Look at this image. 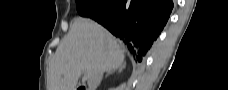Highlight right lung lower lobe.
<instances>
[{"instance_id":"obj_1","label":"right lung lower lobe","mask_w":228,"mask_h":90,"mask_svg":"<svg viewBox=\"0 0 228 90\" xmlns=\"http://www.w3.org/2000/svg\"><path fill=\"white\" fill-rule=\"evenodd\" d=\"M173 3L171 0H107L93 20L121 39L141 62L165 26Z\"/></svg>"}]
</instances>
